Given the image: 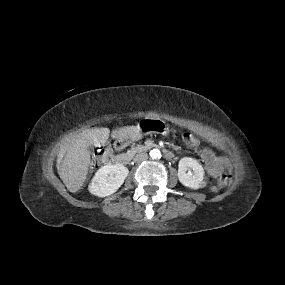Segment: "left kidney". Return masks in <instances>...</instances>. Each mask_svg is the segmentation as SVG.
I'll return each mask as SVG.
<instances>
[{"label": "left kidney", "instance_id": "5707ae66", "mask_svg": "<svg viewBox=\"0 0 285 285\" xmlns=\"http://www.w3.org/2000/svg\"><path fill=\"white\" fill-rule=\"evenodd\" d=\"M179 181L186 187L199 189L203 186L204 169L195 159L184 157L178 164Z\"/></svg>", "mask_w": 285, "mask_h": 285}]
</instances>
